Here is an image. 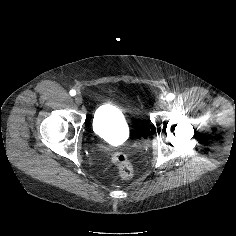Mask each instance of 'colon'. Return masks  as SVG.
Here are the masks:
<instances>
[{
  "label": "colon",
  "mask_w": 236,
  "mask_h": 236,
  "mask_svg": "<svg viewBox=\"0 0 236 236\" xmlns=\"http://www.w3.org/2000/svg\"><path fill=\"white\" fill-rule=\"evenodd\" d=\"M111 160L117 167L119 175L122 179H130L133 176V167L128 157L120 152L116 151L112 154Z\"/></svg>",
  "instance_id": "obj_1"
}]
</instances>
